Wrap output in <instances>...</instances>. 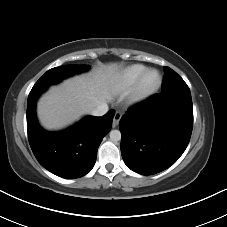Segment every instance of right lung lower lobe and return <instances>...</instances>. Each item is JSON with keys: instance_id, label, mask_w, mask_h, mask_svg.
<instances>
[{"instance_id": "right-lung-lower-lobe-1", "label": "right lung lower lobe", "mask_w": 227, "mask_h": 227, "mask_svg": "<svg viewBox=\"0 0 227 227\" xmlns=\"http://www.w3.org/2000/svg\"><path fill=\"white\" fill-rule=\"evenodd\" d=\"M39 94L28 97L27 130L31 149L38 162L51 173L63 178H79L93 168L98 147L110 131L114 111L102 117L88 116L61 132L42 129L36 118Z\"/></svg>"}]
</instances>
